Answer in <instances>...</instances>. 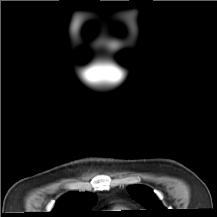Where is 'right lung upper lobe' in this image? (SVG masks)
I'll list each match as a JSON object with an SVG mask.
<instances>
[{"mask_svg":"<svg viewBox=\"0 0 217 217\" xmlns=\"http://www.w3.org/2000/svg\"><path fill=\"white\" fill-rule=\"evenodd\" d=\"M96 197L92 193H68L62 196L55 208L48 213L49 217H93L90 211Z\"/></svg>","mask_w":217,"mask_h":217,"instance_id":"1","label":"right lung upper lobe"}]
</instances>
